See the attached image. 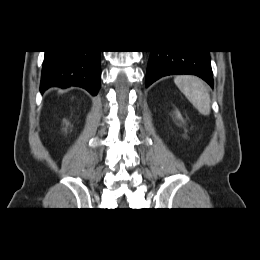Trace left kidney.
Wrapping results in <instances>:
<instances>
[{
	"label": "left kidney",
	"instance_id": "obj_1",
	"mask_svg": "<svg viewBox=\"0 0 260 260\" xmlns=\"http://www.w3.org/2000/svg\"><path fill=\"white\" fill-rule=\"evenodd\" d=\"M177 118L181 119V115L179 112H176Z\"/></svg>",
	"mask_w": 260,
	"mask_h": 260
}]
</instances>
